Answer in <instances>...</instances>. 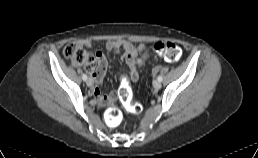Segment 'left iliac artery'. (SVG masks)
<instances>
[{"label": "left iliac artery", "instance_id": "obj_1", "mask_svg": "<svg viewBox=\"0 0 258 158\" xmlns=\"http://www.w3.org/2000/svg\"><path fill=\"white\" fill-rule=\"evenodd\" d=\"M157 79H158V81H160V82H161V81H162V76H161V75H159Z\"/></svg>", "mask_w": 258, "mask_h": 158}]
</instances>
